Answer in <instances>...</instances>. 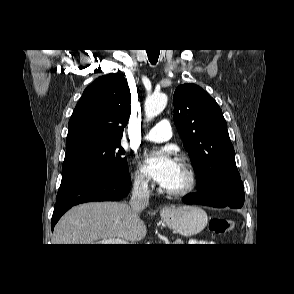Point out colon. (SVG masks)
Returning a JSON list of instances; mask_svg holds the SVG:
<instances>
[{"mask_svg":"<svg viewBox=\"0 0 294 294\" xmlns=\"http://www.w3.org/2000/svg\"><path fill=\"white\" fill-rule=\"evenodd\" d=\"M235 228V222L225 218H213L209 222V229L215 234H225L231 232Z\"/></svg>","mask_w":294,"mask_h":294,"instance_id":"colon-1","label":"colon"}]
</instances>
